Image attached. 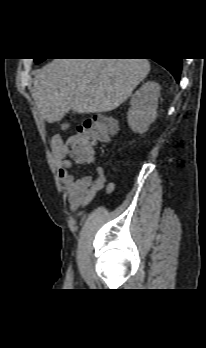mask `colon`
I'll return each instance as SVG.
<instances>
[{"label": "colon", "instance_id": "5ec220e1", "mask_svg": "<svg viewBox=\"0 0 206 348\" xmlns=\"http://www.w3.org/2000/svg\"><path fill=\"white\" fill-rule=\"evenodd\" d=\"M116 130L115 121L108 115H98L77 126L76 132L62 138L58 149L75 162H86L92 158V149L106 143Z\"/></svg>", "mask_w": 206, "mask_h": 348}]
</instances>
